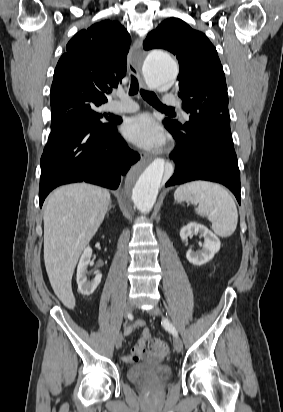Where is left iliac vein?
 Masks as SVG:
<instances>
[{
  "label": "left iliac vein",
  "mask_w": 283,
  "mask_h": 412,
  "mask_svg": "<svg viewBox=\"0 0 283 412\" xmlns=\"http://www.w3.org/2000/svg\"><path fill=\"white\" fill-rule=\"evenodd\" d=\"M147 312H148V314H150L152 316H159L161 314V310L158 306H154L151 309H148ZM173 344H174L175 350L178 353H180L183 349V344H182L181 339L178 336L174 337Z\"/></svg>",
  "instance_id": "left-iliac-vein-1"
}]
</instances>
